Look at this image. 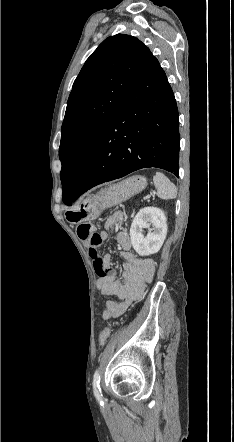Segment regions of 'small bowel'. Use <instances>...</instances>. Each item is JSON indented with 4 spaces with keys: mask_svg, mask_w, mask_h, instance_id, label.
Returning <instances> with one entry per match:
<instances>
[{
    "mask_svg": "<svg viewBox=\"0 0 234 442\" xmlns=\"http://www.w3.org/2000/svg\"><path fill=\"white\" fill-rule=\"evenodd\" d=\"M124 214L117 211L105 220V230L99 234L101 245L108 238V230L120 224ZM120 255L124 259L122 277L119 279L110 266L111 256H99L97 251L89 250L96 274L99 276L96 287L104 296L117 297L120 301L108 300L102 313L104 320H111L126 312L129 305L140 299L146 285L152 280L155 264L151 259H143L131 252V240L126 231L120 230L116 236ZM98 245V246H99Z\"/></svg>",
    "mask_w": 234,
    "mask_h": 442,
    "instance_id": "1",
    "label": "small bowel"
}]
</instances>
